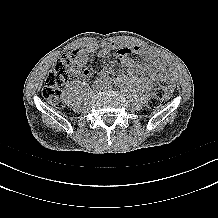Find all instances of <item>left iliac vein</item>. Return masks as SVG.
I'll return each mask as SVG.
<instances>
[{"label":"left iliac vein","mask_w":218,"mask_h":218,"mask_svg":"<svg viewBox=\"0 0 218 218\" xmlns=\"http://www.w3.org/2000/svg\"><path fill=\"white\" fill-rule=\"evenodd\" d=\"M103 88L107 89V90H111V89H113V86L111 84L106 83V84L103 85Z\"/></svg>","instance_id":"4c4485c4"}]
</instances>
